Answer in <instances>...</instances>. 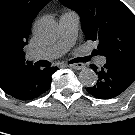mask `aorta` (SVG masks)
<instances>
[{
  "label": "aorta",
  "mask_w": 135,
  "mask_h": 135,
  "mask_svg": "<svg viewBox=\"0 0 135 135\" xmlns=\"http://www.w3.org/2000/svg\"><path fill=\"white\" fill-rule=\"evenodd\" d=\"M35 35L44 42H53L59 37V25L50 18L39 19L34 25ZM79 81L87 87H91L97 82L96 73L89 68H84L79 73Z\"/></svg>",
  "instance_id": "1"
}]
</instances>
